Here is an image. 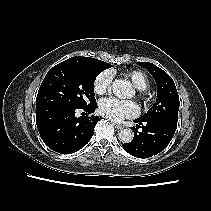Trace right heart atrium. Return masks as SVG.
<instances>
[{"instance_id":"1","label":"right heart atrium","mask_w":211,"mask_h":211,"mask_svg":"<svg viewBox=\"0 0 211 211\" xmlns=\"http://www.w3.org/2000/svg\"><path fill=\"white\" fill-rule=\"evenodd\" d=\"M113 81V74L111 71H103L98 74L94 80L93 89L98 95L106 94L110 88Z\"/></svg>"}]
</instances>
